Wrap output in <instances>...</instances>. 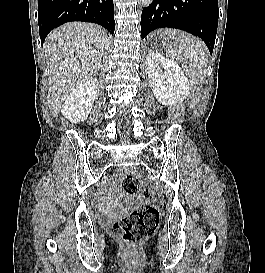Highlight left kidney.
Instances as JSON below:
<instances>
[{"label": "left kidney", "mask_w": 265, "mask_h": 273, "mask_svg": "<svg viewBox=\"0 0 265 273\" xmlns=\"http://www.w3.org/2000/svg\"><path fill=\"white\" fill-rule=\"evenodd\" d=\"M146 73L150 87L156 99L163 105H174L189 95V83L184 72L171 59L157 52H150L146 57ZM159 65L165 71L159 73Z\"/></svg>", "instance_id": "left-kidney-1"}]
</instances>
